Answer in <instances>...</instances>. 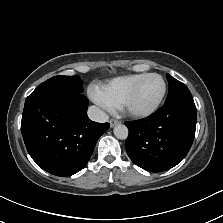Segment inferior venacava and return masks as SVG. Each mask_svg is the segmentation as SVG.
Wrapping results in <instances>:
<instances>
[{"label": "inferior vena cava", "instance_id": "obj_1", "mask_svg": "<svg viewBox=\"0 0 223 223\" xmlns=\"http://www.w3.org/2000/svg\"><path fill=\"white\" fill-rule=\"evenodd\" d=\"M87 113L92 121L103 123L109 120V116L97 106H90Z\"/></svg>", "mask_w": 223, "mask_h": 223}]
</instances>
